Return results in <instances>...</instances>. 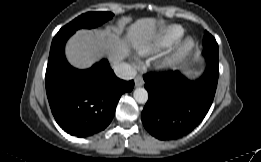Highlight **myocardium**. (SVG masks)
<instances>
[{"label": "myocardium", "mask_w": 261, "mask_h": 162, "mask_svg": "<svg viewBox=\"0 0 261 162\" xmlns=\"http://www.w3.org/2000/svg\"><path fill=\"white\" fill-rule=\"evenodd\" d=\"M194 44L195 42L192 37H186L168 55V57L164 61V66L170 67L180 63L186 57V55L192 50Z\"/></svg>", "instance_id": "1"}]
</instances>
